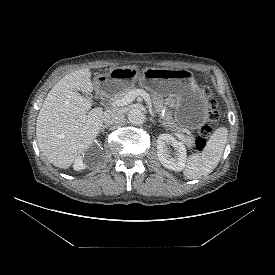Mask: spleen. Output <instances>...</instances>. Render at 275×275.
<instances>
[{"label":"spleen","mask_w":275,"mask_h":275,"mask_svg":"<svg viewBox=\"0 0 275 275\" xmlns=\"http://www.w3.org/2000/svg\"><path fill=\"white\" fill-rule=\"evenodd\" d=\"M228 130L216 129L210 136L203 151L189 156L183 171L186 179H199L210 174L218 165L227 142Z\"/></svg>","instance_id":"3e777b00"}]
</instances>
